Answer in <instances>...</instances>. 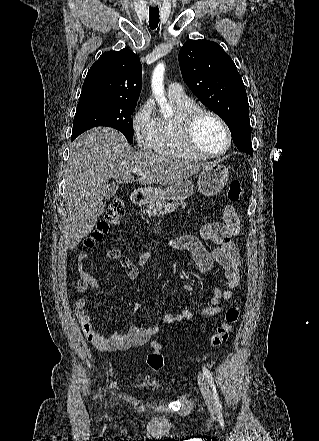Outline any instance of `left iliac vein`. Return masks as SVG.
<instances>
[{
    "instance_id": "4c4485c4",
    "label": "left iliac vein",
    "mask_w": 319,
    "mask_h": 441,
    "mask_svg": "<svg viewBox=\"0 0 319 441\" xmlns=\"http://www.w3.org/2000/svg\"><path fill=\"white\" fill-rule=\"evenodd\" d=\"M198 384L208 409L210 411H214L215 404L213 401L212 393L206 378L202 374L198 375Z\"/></svg>"
}]
</instances>
